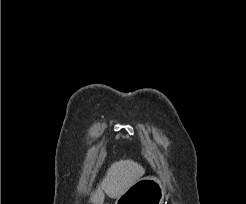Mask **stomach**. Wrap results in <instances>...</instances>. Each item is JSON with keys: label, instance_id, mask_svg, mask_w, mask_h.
<instances>
[{"label": "stomach", "instance_id": "stomach-1", "mask_svg": "<svg viewBox=\"0 0 246 204\" xmlns=\"http://www.w3.org/2000/svg\"><path fill=\"white\" fill-rule=\"evenodd\" d=\"M165 188L156 177L137 180L115 204H163Z\"/></svg>", "mask_w": 246, "mask_h": 204}]
</instances>
